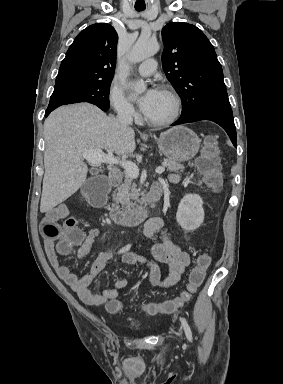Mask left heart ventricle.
Listing matches in <instances>:
<instances>
[{
    "instance_id": "obj_1",
    "label": "left heart ventricle",
    "mask_w": 283,
    "mask_h": 384,
    "mask_svg": "<svg viewBox=\"0 0 283 384\" xmlns=\"http://www.w3.org/2000/svg\"><path fill=\"white\" fill-rule=\"evenodd\" d=\"M172 111V103L165 92L160 93L147 113L143 116L149 120H161L167 118Z\"/></svg>"
}]
</instances>
